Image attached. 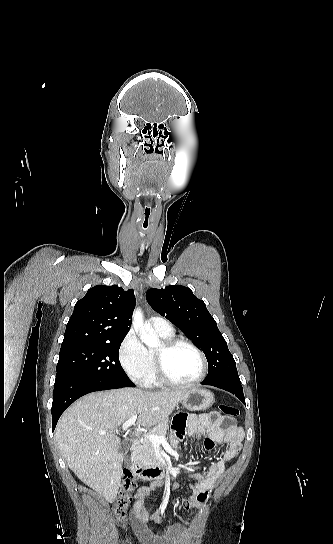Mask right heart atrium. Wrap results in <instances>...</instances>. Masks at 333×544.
Masks as SVG:
<instances>
[{
  "instance_id": "d8ad5b80",
  "label": "right heart atrium",
  "mask_w": 333,
  "mask_h": 544,
  "mask_svg": "<svg viewBox=\"0 0 333 544\" xmlns=\"http://www.w3.org/2000/svg\"><path fill=\"white\" fill-rule=\"evenodd\" d=\"M118 358L127 376L137 384H144L150 370L149 353L133 330L122 340Z\"/></svg>"
}]
</instances>
